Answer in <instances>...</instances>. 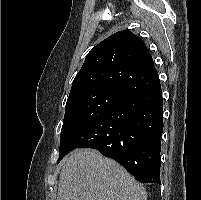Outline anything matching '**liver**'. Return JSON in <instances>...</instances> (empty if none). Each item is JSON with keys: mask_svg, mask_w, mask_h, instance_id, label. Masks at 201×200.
<instances>
[{"mask_svg": "<svg viewBox=\"0 0 201 200\" xmlns=\"http://www.w3.org/2000/svg\"><path fill=\"white\" fill-rule=\"evenodd\" d=\"M57 200H147V193L116 161L81 148L64 161Z\"/></svg>", "mask_w": 201, "mask_h": 200, "instance_id": "6515ba94", "label": "liver"}]
</instances>
